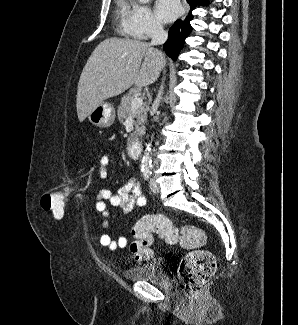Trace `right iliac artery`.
I'll use <instances>...</instances> for the list:
<instances>
[{
  "label": "right iliac artery",
  "mask_w": 298,
  "mask_h": 325,
  "mask_svg": "<svg viewBox=\"0 0 298 325\" xmlns=\"http://www.w3.org/2000/svg\"><path fill=\"white\" fill-rule=\"evenodd\" d=\"M150 175H151V172H144L143 173L144 179L147 180V181L149 180Z\"/></svg>",
  "instance_id": "1"
}]
</instances>
